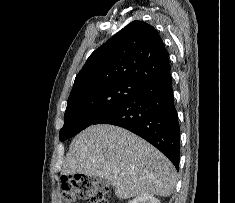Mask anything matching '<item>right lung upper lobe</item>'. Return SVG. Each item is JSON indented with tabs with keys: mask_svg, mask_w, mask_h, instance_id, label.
Wrapping results in <instances>:
<instances>
[{
	"mask_svg": "<svg viewBox=\"0 0 235 203\" xmlns=\"http://www.w3.org/2000/svg\"><path fill=\"white\" fill-rule=\"evenodd\" d=\"M170 69L168 52L158 32L145 22L133 21L90 55L71 92L113 80L144 84Z\"/></svg>",
	"mask_w": 235,
	"mask_h": 203,
	"instance_id": "1",
	"label": "right lung upper lobe"
}]
</instances>
